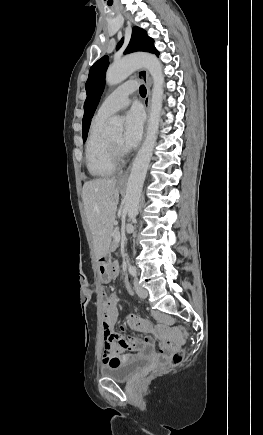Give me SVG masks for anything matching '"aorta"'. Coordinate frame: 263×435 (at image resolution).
I'll return each mask as SVG.
<instances>
[{
  "label": "aorta",
  "instance_id": "1",
  "mask_svg": "<svg viewBox=\"0 0 263 435\" xmlns=\"http://www.w3.org/2000/svg\"><path fill=\"white\" fill-rule=\"evenodd\" d=\"M141 67L146 68L151 74L153 90L146 138L133 162L126 189L125 210L132 220L138 214L143 184L157 140L164 94L163 68L156 56L144 53L124 57L111 65L106 73V83L117 85ZM106 131L109 134H121L123 131L122 120L118 117L110 119Z\"/></svg>",
  "mask_w": 263,
  "mask_h": 435
}]
</instances>
